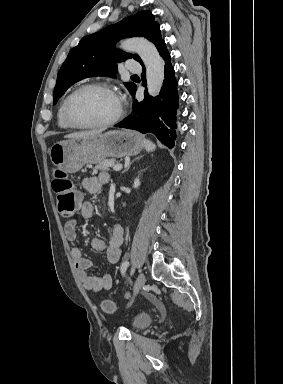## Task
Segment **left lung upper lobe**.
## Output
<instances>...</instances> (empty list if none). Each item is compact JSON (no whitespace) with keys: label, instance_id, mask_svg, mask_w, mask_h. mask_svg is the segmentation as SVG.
I'll return each instance as SVG.
<instances>
[{"label":"left lung upper lobe","instance_id":"5c2ea615","mask_svg":"<svg viewBox=\"0 0 283 384\" xmlns=\"http://www.w3.org/2000/svg\"><path fill=\"white\" fill-rule=\"evenodd\" d=\"M141 36L147 38L159 49L164 42L160 26L154 21L150 11H140L105 29L85 36L79 44L72 48L61 66L54 89L55 104L65 91L74 83L93 76L115 77L117 62L134 58L141 65L138 55L116 50L114 44L121 38ZM132 94L136 90L134 83H125Z\"/></svg>","mask_w":283,"mask_h":384}]
</instances>
